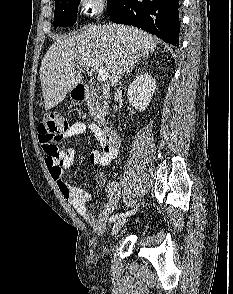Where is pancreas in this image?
Instances as JSON below:
<instances>
[{"instance_id": "cf45deb5", "label": "pancreas", "mask_w": 233, "mask_h": 294, "mask_svg": "<svg viewBox=\"0 0 233 294\" xmlns=\"http://www.w3.org/2000/svg\"><path fill=\"white\" fill-rule=\"evenodd\" d=\"M87 103L89 113L93 120L98 123L103 122V119L107 114L106 103H100V99L95 92H92V97L87 101Z\"/></svg>"}]
</instances>
